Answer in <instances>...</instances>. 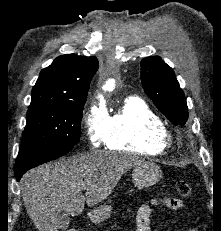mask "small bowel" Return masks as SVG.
Masks as SVG:
<instances>
[{
    "label": "small bowel",
    "instance_id": "1",
    "mask_svg": "<svg viewBox=\"0 0 221 231\" xmlns=\"http://www.w3.org/2000/svg\"><path fill=\"white\" fill-rule=\"evenodd\" d=\"M159 205L166 206L173 210H178L181 208V201L177 198L163 197V198H153L147 203L143 204L137 211L136 223L137 231H152L150 226V216L152 214L153 208ZM188 231H197L196 228L192 227Z\"/></svg>",
    "mask_w": 221,
    "mask_h": 231
}]
</instances>
